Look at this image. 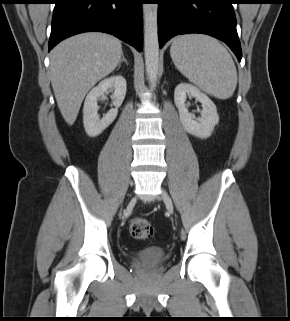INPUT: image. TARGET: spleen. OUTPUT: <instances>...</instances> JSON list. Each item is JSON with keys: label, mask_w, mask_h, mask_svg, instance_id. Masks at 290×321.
Wrapping results in <instances>:
<instances>
[{"label": "spleen", "mask_w": 290, "mask_h": 321, "mask_svg": "<svg viewBox=\"0 0 290 321\" xmlns=\"http://www.w3.org/2000/svg\"><path fill=\"white\" fill-rule=\"evenodd\" d=\"M171 58L177 69L206 93L220 99L232 96L237 71L232 57L216 39L183 35L174 40Z\"/></svg>", "instance_id": "spleen-1"}]
</instances>
